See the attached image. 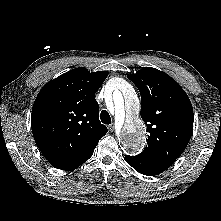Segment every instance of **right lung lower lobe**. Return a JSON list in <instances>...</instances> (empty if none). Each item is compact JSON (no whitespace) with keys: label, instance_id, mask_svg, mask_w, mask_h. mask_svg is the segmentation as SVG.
Masks as SVG:
<instances>
[{"label":"right lung lower lobe","instance_id":"98d812e1","mask_svg":"<svg viewBox=\"0 0 221 221\" xmlns=\"http://www.w3.org/2000/svg\"><path fill=\"white\" fill-rule=\"evenodd\" d=\"M92 154H93V151L90 152L89 154H87L86 156L82 157L81 159L75 161L74 163L70 164L69 166H67L63 170H73V169H76L77 167L82 165L84 162H86L92 156Z\"/></svg>","mask_w":221,"mask_h":221}]
</instances>
